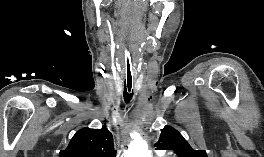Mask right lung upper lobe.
I'll use <instances>...</instances> for the list:
<instances>
[{"mask_svg":"<svg viewBox=\"0 0 264 157\" xmlns=\"http://www.w3.org/2000/svg\"><path fill=\"white\" fill-rule=\"evenodd\" d=\"M59 157H116L113 136L105 127L83 128L76 132L67 149L60 151Z\"/></svg>","mask_w":264,"mask_h":157,"instance_id":"obj_1","label":"right lung upper lobe"}]
</instances>
